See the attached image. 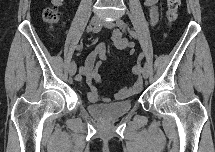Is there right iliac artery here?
<instances>
[{"mask_svg": "<svg viewBox=\"0 0 215 152\" xmlns=\"http://www.w3.org/2000/svg\"><path fill=\"white\" fill-rule=\"evenodd\" d=\"M101 29H102V25H96V26H94V28H92V31H93V33H98V32H100L101 31ZM81 47L80 46H78L77 47V50H79ZM77 79V78H76Z\"/></svg>", "mask_w": 215, "mask_h": 152, "instance_id": "82829eb1", "label": "right iliac artery"}]
</instances>
